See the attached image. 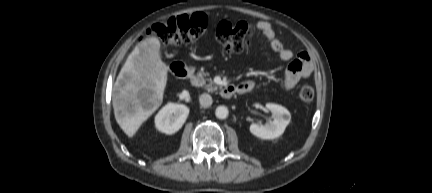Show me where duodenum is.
<instances>
[{"label": "duodenum", "mask_w": 432, "mask_h": 193, "mask_svg": "<svg viewBox=\"0 0 432 193\" xmlns=\"http://www.w3.org/2000/svg\"><path fill=\"white\" fill-rule=\"evenodd\" d=\"M170 68L173 74L179 79L187 80L192 76V71L190 67L185 65L182 62H173L170 65ZM236 92H239L238 87L236 85L223 86L220 91L221 96L223 98H230Z\"/></svg>", "instance_id": "410a0bca"}]
</instances>
